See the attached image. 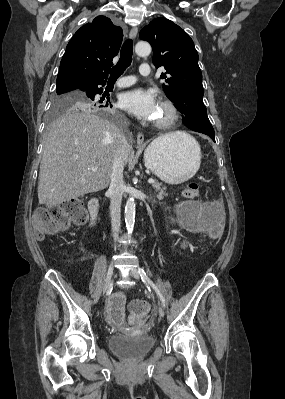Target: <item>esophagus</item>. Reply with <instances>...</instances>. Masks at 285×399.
Returning a JSON list of instances; mask_svg holds the SVG:
<instances>
[{
	"label": "esophagus",
	"mask_w": 285,
	"mask_h": 399,
	"mask_svg": "<svg viewBox=\"0 0 285 399\" xmlns=\"http://www.w3.org/2000/svg\"><path fill=\"white\" fill-rule=\"evenodd\" d=\"M137 32H138V29H137L136 26H134V27L130 30V33H129L130 38H131V39H135L136 36H137ZM137 144H138L139 146H143V145H144V134H143V133H138V134H137Z\"/></svg>",
	"instance_id": "obj_1"
}]
</instances>
